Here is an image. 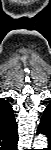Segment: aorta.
<instances>
[{
	"mask_svg": "<svg viewBox=\"0 0 51 150\" xmlns=\"http://www.w3.org/2000/svg\"><path fill=\"white\" fill-rule=\"evenodd\" d=\"M35 149H42L47 147V138L44 135H38L33 143Z\"/></svg>",
	"mask_w": 51,
	"mask_h": 150,
	"instance_id": "1",
	"label": "aorta"
}]
</instances>
